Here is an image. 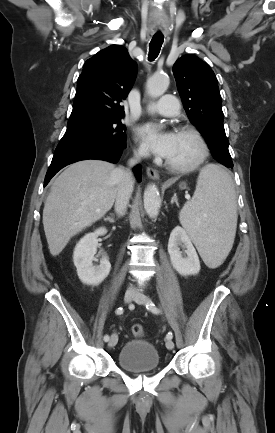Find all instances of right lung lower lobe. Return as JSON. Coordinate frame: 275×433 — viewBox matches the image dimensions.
<instances>
[{
	"label": "right lung lower lobe",
	"instance_id": "98d812e1",
	"mask_svg": "<svg viewBox=\"0 0 275 433\" xmlns=\"http://www.w3.org/2000/svg\"><path fill=\"white\" fill-rule=\"evenodd\" d=\"M125 145H99V146H84V147H63L55 150L51 165L47 171L44 186L48 184L50 179L63 167L71 163L87 160L98 159L111 163H117L120 159ZM134 172L138 181H141V166L134 168Z\"/></svg>",
	"mask_w": 275,
	"mask_h": 433
}]
</instances>
